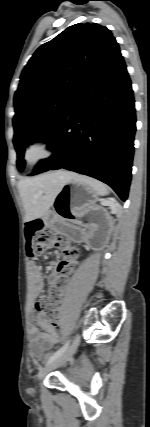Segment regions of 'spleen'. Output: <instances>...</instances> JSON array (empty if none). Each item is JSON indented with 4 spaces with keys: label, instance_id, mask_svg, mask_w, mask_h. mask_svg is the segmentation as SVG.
<instances>
[{
    "label": "spleen",
    "instance_id": "obj_1",
    "mask_svg": "<svg viewBox=\"0 0 150 427\" xmlns=\"http://www.w3.org/2000/svg\"><path fill=\"white\" fill-rule=\"evenodd\" d=\"M75 179L93 188L99 196H106L109 193L108 187L98 180L80 175H77Z\"/></svg>",
    "mask_w": 150,
    "mask_h": 427
}]
</instances>
